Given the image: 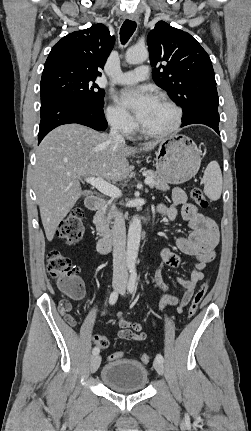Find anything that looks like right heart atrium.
<instances>
[{
  "label": "right heart atrium",
  "mask_w": 251,
  "mask_h": 431,
  "mask_svg": "<svg viewBox=\"0 0 251 431\" xmlns=\"http://www.w3.org/2000/svg\"><path fill=\"white\" fill-rule=\"evenodd\" d=\"M105 118L108 124L124 135H131L135 128L133 118L120 107L110 104L105 110Z\"/></svg>",
  "instance_id": "1"
}]
</instances>
